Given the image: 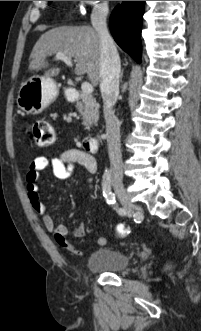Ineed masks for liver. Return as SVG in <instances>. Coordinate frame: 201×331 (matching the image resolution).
I'll return each instance as SVG.
<instances>
[{"label": "liver", "instance_id": "6515ba94", "mask_svg": "<svg viewBox=\"0 0 201 331\" xmlns=\"http://www.w3.org/2000/svg\"><path fill=\"white\" fill-rule=\"evenodd\" d=\"M62 53L76 62L75 74H87L91 84L101 82L100 54L101 41L94 28L88 26H62L53 28L39 38L31 55L29 70H40L49 66L46 58ZM60 73V68H50L44 76L53 77Z\"/></svg>", "mask_w": 201, "mask_h": 331}]
</instances>
